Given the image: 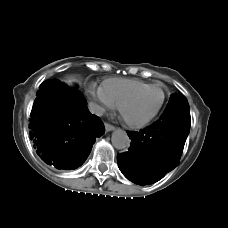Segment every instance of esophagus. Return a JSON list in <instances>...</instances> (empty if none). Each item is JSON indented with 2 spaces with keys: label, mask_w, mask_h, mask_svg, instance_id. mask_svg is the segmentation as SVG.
<instances>
[{
  "label": "esophagus",
  "mask_w": 228,
  "mask_h": 228,
  "mask_svg": "<svg viewBox=\"0 0 228 228\" xmlns=\"http://www.w3.org/2000/svg\"><path fill=\"white\" fill-rule=\"evenodd\" d=\"M105 129H106L107 132H109V131L114 130L115 126H113V125H111L109 123H105Z\"/></svg>",
  "instance_id": "1"
}]
</instances>
